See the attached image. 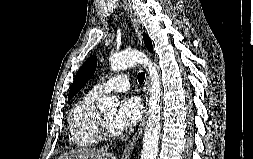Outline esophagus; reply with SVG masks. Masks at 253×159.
Instances as JSON below:
<instances>
[{
	"label": "esophagus",
	"instance_id": "obj_1",
	"mask_svg": "<svg viewBox=\"0 0 253 159\" xmlns=\"http://www.w3.org/2000/svg\"><path fill=\"white\" fill-rule=\"evenodd\" d=\"M123 7L125 10L127 9V6L124 4H123ZM131 21H132V26L135 30L138 45L140 46V48H143L144 45L142 41L140 25L138 24L137 20L134 18H131ZM144 90H145V114L143 115L139 128L137 129L135 134L130 138V140L127 142L122 154V159H131L134 149L136 147V144L143 134V130L146 123L147 102H148V97H149V80L147 76L145 79Z\"/></svg>",
	"mask_w": 253,
	"mask_h": 159
}]
</instances>
